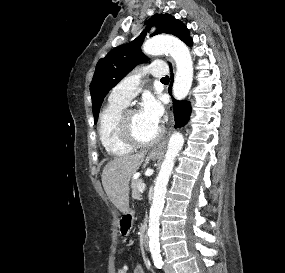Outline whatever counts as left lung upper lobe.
I'll return each instance as SVG.
<instances>
[{
  "mask_svg": "<svg viewBox=\"0 0 285 273\" xmlns=\"http://www.w3.org/2000/svg\"><path fill=\"white\" fill-rule=\"evenodd\" d=\"M145 24L146 28L135 40L114 48L98 62L90 84L95 123L98 120L99 109L106 94L136 65L146 62L147 58L140 47L152 26H156L157 29L150 36L167 33L177 36L184 42L189 37L186 26L168 14H155Z\"/></svg>",
  "mask_w": 285,
  "mask_h": 273,
  "instance_id": "5c2ea615",
  "label": "left lung upper lobe"
}]
</instances>
